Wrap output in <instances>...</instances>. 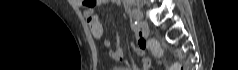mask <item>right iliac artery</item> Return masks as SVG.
Returning a JSON list of instances; mask_svg holds the SVG:
<instances>
[{"mask_svg": "<svg viewBox=\"0 0 238 70\" xmlns=\"http://www.w3.org/2000/svg\"><path fill=\"white\" fill-rule=\"evenodd\" d=\"M131 27L134 31L139 30V24L137 23V21L133 22Z\"/></svg>", "mask_w": 238, "mask_h": 70, "instance_id": "1", "label": "right iliac artery"}]
</instances>
